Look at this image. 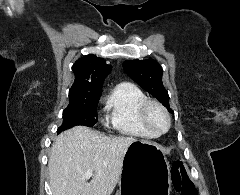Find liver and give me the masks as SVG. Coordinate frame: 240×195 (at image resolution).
Listing matches in <instances>:
<instances>
[{
    "mask_svg": "<svg viewBox=\"0 0 240 195\" xmlns=\"http://www.w3.org/2000/svg\"><path fill=\"white\" fill-rule=\"evenodd\" d=\"M134 137H116L75 125L52 143L48 161L53 195H111L122 173L127 147ZM92 169L90 181L83 177Z\"/></svg>",
    "mask_w": 240,
    "mask_h": 195,
    "instance_id": "obj_1",
    "label": "liver"
}]
</instances>
